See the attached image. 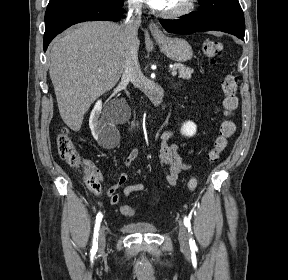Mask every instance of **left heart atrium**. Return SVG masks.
Returning a JSON list of instances; mask_svg holds the SVG:
<instances>
[{
	"label": "left heart atrium",
	"instance_id": "1",
	"mask_svg": "<svg viewBox=\"0 0 288 280\" xmlns=\"http://www.w3.org/2000/svg\"><path fill=\"white\" fill-rule=\"evenodd\" d=\"M151 7L158 9V10H163L167 0H145Z\"/></svg>",
	"mask_w": 288,
	"mask_h": 280
}]
</instances>
